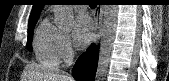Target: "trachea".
<instances>
[{"label":"trachea","mask_w":169,"mask_h":81,"mask_svg":"<svg viewBox=\"0 0 169 81\" xmlns=\"http://www.w3.org/2000/svg\"><path fill=\"white\" fill-rule=\"evenodd\" d=\"M81 3H82V4H80V5H85V4H83V3H85V2H81ZM89 5H90L91 8H94V7H96L97 4L92 1V2H90Z\"/></svg>","instance_id":"trachea-1"}]
</instances>
